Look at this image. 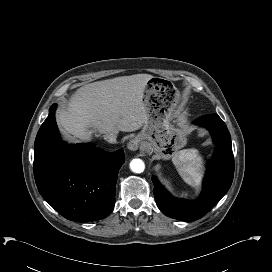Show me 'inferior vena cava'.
I'll use <instances>...</instances> for the list:
<instances>
[{
  "instance_id": "inferior-vena-cava-1",
  "label": "inferior vena cava",
  "mask_w": 272,
  "mask_h": 272,
  "mask_svg": "<svg viewBox=\"0 0 272 272\" xmlns=\"http://www.w3.org/2000/svg\"><path fill=\"white\" fill-rule=\"evenodd\" d=\"M105 140L111 144H116L117 143V133H109L105 135Z\"/></svg>"
}]
</instances>
